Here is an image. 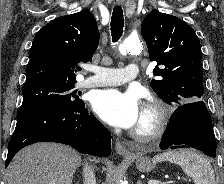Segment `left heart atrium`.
<instances>
[{"label":"left heart atrium","instance_id":"obj_1","mask_svg":"<svg viewBox=\"0 0 224 184\" xmlns=\"http://www.w3.org/2000/svg\"><path fill=\"white\" fill-rule=\"evenodd\" d=\"M92 105L97 115L114 127L134 128L142 115L140 98L134 92L102 90L97 92Z\"/></svg>","mask_w":224,"mask_h":184}]
</instances>
